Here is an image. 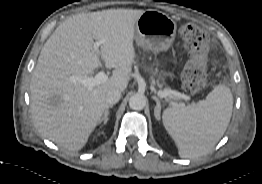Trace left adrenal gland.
<instances>
[{
	"label": "left adrenal gland",
	"instance_id": "1",
	"mask_svg": "<svg viewBox=\"0 0 262 184\" xmlns=\"http://www.w3.org/2000/svg\"><path fill=\"white\" fill-rule=\"evenodd\" d=\"M152 98L156 102V106H155V109H154V115H155L156 119L159 120L160 119V112H161V103H160V100L157 97L153 96Z\"/></svg>",
	"mask_w": 262,
	"mask_h": 184
}]
</instances>
